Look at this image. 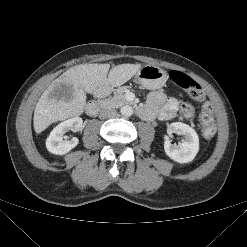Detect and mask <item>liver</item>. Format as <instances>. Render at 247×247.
Instances as JSON below:
<instances>
[{"mask_svg": "<svg viewBox=\"0 0 247 247\" xmlns=\"http://www.w3.org/2000/svg\"><path fill=\"white\" fill-rule=\"evenodd\" d=\"M81 64L55 79L39 98L34 110V130L41 133L49 125L83 113L86 93L106 85L118 87L141 69L140 64Z\"/></svg>", "mask_w": 247, "mask_h": 247, "instance_id": "obj_1", "label": "liver"}]
</instances>
